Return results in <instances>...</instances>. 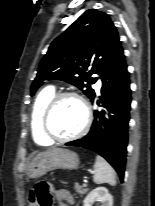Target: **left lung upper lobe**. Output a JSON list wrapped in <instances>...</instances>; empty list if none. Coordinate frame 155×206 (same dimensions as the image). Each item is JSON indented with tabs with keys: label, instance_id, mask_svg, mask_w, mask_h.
Listing matches in <instances>:
<instances>
[{
	"label": "left lung upper lobe",
	"instance_id": "5c2ea615",
	"mask_svg": "<svg viewBox=\"0 0 155 206\" xmlns=\"http://www.w3.org/2000/svg\"><path fill=\"white\" fill-rule=\"evenodd\" d=\"M122 51L110 17L87 10L51 43L31 85V95L45 80L58 79L77 86L91 100L95 95L91 84L98 79L91 75L99 74L102 79Z\"/></svg>",
	"mask_w": 155,
	"mask_h": 206
}]
</instances>
